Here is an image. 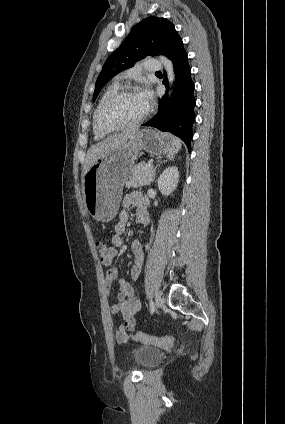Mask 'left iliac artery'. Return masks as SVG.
Returning a JSON list of instances; mask_svg holds the SVG:
<instances>
[{"label": "left iliac artery", "instance_id": "44dca946", "mask_svg": "<svg viewBox=\"0 0 285 424\" xmlns=\"http://www.w3.org/2000/svg\"><path fill=\"white\" fill-rule=\"evenodd\" d=\"M154 310H155L154 303L152 301H150V311H151V313H153Z\"/></svg>", "mask_w": 285, "mask_h": 424}]
</instances>
